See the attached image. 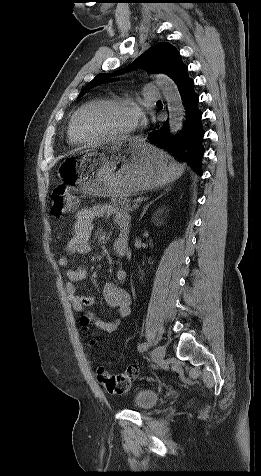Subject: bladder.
<instances>
[{
	"mask_svg": "<svg viewBox=\"0 0 261 476\" xmlns=\"http://www.w3.org/2000/svg\"><path fill=\"white\" fill-rule=\"evenodd\" d=\"M159 400V395L148 389H143L137 392L134 397V407L140 411H147L153 408Z\"/></svg>",
	"mask_w": 261,
	"mask_h": 476,
	"instance_id": "obj_1",
	"label": "bladder"
}]
</instances>
